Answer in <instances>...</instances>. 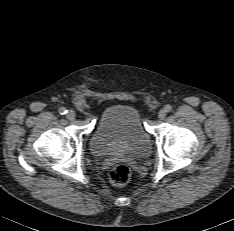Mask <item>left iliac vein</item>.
Returning <instances> with one entry per match:
<instances>
[{"instance_id":"left-iliac-vein-1","label":"left iliac vein","mask_w":234,"mask_h":231,"mask_svg":"<svg viewBox=\"0 0 234 231\" xmlns=\"http://www.w3.org/2000/svg\"><path fill=\"white\" fill-rule=\"evenodd\" d=\"M165 117H166V110H165V109H161V110L158 112V118H159L160 120H163Z\"/></svg>"}]
</instances>
